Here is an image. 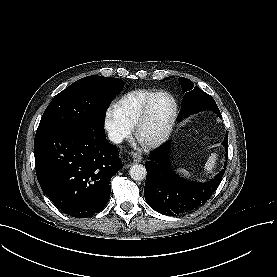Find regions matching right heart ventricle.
<instances>
[{
	"label": "right heart ventricle",
	"instance_id": "obj_1",
	"mask_svg": "<svg viewBox=\"0 0 277 277\" xmlns=\"http://www.w3.org/2000/svg\"><path fill=\"white\" fill-rule=\"evenodd\" d=\"M152 93L151 90L139 89L129 92L117 102L116 108L118 112L130 126L136 123L148 97Z\"/></svg>",
	"mask_w": 277,
	"mask_h": 277
}]
</instances>
